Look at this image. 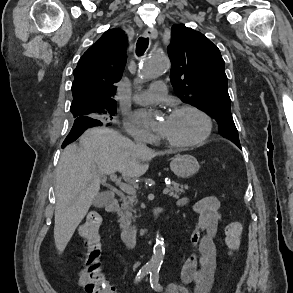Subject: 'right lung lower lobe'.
I'll return each instance as SVG.
<instances>
[{
	"label": "right lung lower lobe",
	"instance_id": "1",
	"mask_svg": "<svg viewBox=\"0 0 293 293\" xmlns=\"http://www.w3.org/2000/svg\"><path fill=\"white\" fill-rule=\"evenodd\" d=\"M104 124L103 121L87 116L75 118L72 129L62 144V148L76 140L87 128ZM109 125V123H107Z\"/></svg>",
	"mask_w": 293,
	"mask_h": 293
}]
</instances>
